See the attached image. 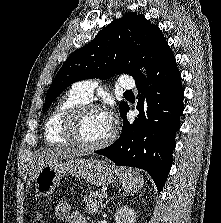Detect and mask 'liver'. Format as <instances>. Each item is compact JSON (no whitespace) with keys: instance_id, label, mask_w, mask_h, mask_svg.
I'll return each instance as SVG.
<instances>
[{"instance_id":"1","label":"liver","mask_w":221,"mask_h":223,"mask_svg":"<svg viewBox=\"0 0 221 223\" xmlns=\"http://www.w3.org/2000/svg\"><path fill=\"white\" fill-rule=\"evenodd\" d=\"M83 152L76 149V148H69L64 146H57L43 150L42 152L38 153L35 158L36 163V174L38 171L46 166L50 165L58 160L68 159V158H75L82 155ZM34 177L31 178L33 180ZM30 182L28 183V187H30Z\"/></svg>"}]
</instances>
